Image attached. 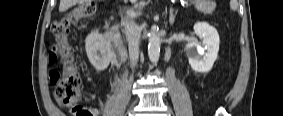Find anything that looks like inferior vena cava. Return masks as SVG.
I'll return each instance as SVG.
<instances>
[{
    "label": "inferior vena cava",
    "mask_w": 283,
    "mask_h": 116,
    "mask_svg": "<svg viewBox=\"0 0 283 116\" xmlns=\"http://www.w3.org/2000/svg\"><path fill=\"white\" fill-rule=\"evenodd\" d=\"M125 34L130 61L132 66H135L139 57L140 28L134 21L130 20L129 16L125 18Z\"/></svg>",
    "instance_id": "obj_1"
}]
</instances>
